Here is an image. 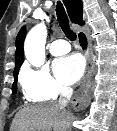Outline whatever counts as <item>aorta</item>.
I'll use <instances>...</instances> for the list:
<instances>
[{
	"label": "aorta",
	"mask_w": 117,
	"mask_h": 131,
	"mask_svg": "<svg viewBox=\"0 0 117 131\" xmlns=\"http://www.w3.org/2000/svg\"><path fill=\"white\" fill-rule=\"evenodd\" d=\"M47 29L43 23L34 26L26 36L24 53L26 59L35 67H40L45 61V43Z\"/></svg>",
	"instance_id": "762f6f07"
}]
</instances>
